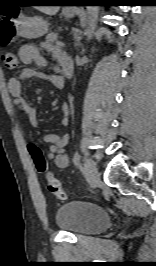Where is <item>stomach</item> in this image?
Here are the masks:
<instances>
[{"label": "stomach", "instance_id": "stomach-1", "mask_svg": "<svg viewBox=\"0 0 156 266\" xmlns=\"http://www.w3.org/2000/svg\"><path fill=\"white\" fill-rule=\"evenodd\" d=\"M66 17H73L74 11L64 12ZM16 29L18 33L29 39L39 38L46 34L49 30V23L43 18H27L20 17L16 22Z\"/></svg>", "mask_w": 156, "mask_h": 266}]
</instances>
